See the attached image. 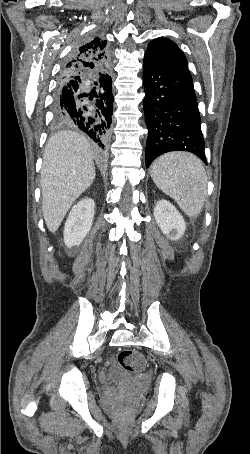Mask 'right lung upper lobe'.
<instances>
[{
	"mask_svg": "<svg viewBox=\"0 0 250 454\" xmlns=\"http://www.w3.org/2000/svg\"><path fill=\"white\" fill-rule=\"evenodd\" d=\"M106 43V40L95 37L78 48L77 53L64 64L59 84L105 73L110 58Z\"/></svg>",
	"mask_w": 250,
	"mask_h": 454,
	"instance_id": "1",
	"label": "right lung upper lobe"
}]
</instances>
